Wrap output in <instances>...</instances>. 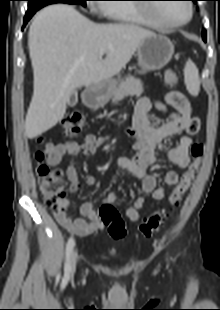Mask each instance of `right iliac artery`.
I'll return each mask as SVG.
<instances>
[{
    "mask_svg": "<svg viewBox=\"0 0 220 310\" xmlns=\"http://www.w3.org/2000/svg\"><path fill=\"white\" fill-rule=\"evenodd\" d=\"M75 245L74 239L71 237L69 238L67 242V247H66V262H65V276L69 275V270H70V254Z\"/></svg>",
    "mask_w": 220,
    "mask_h": 310,
    "instance_id": "82829eb1",
    "label": "right iliac artery"
}]
</instances>
